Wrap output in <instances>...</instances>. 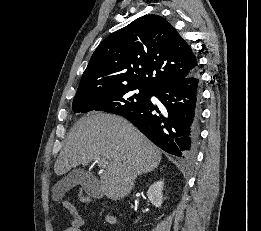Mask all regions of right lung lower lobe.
I'll list each match as a JSON object with an SVG mask.
<instances>
[{"label": "right lung lower lobe", "instance_id": "1", "mask_svg": "<svg viewBox=\"0 0 261 231\" xmlns=\"http://www.w3.org/2000/svg\"><path fill=\"white\" fill-rule=\"evenodd\" d=\"M162 106L150 100L122 116L164 151L181 157H194L200 118V77L197 70L188 76L162 83L151 91Z\"/></svg>", "mask_w": 261, "mask_h": 231}]
</instances>
